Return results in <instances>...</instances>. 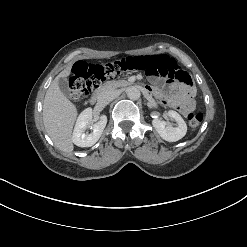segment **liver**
Listing matches in <instances>:
<instances>
[{"mask_svg": "<svg viewBox=\"0 0 247 247\" xmlns=\"http://www.w3.org/2000/svg\"><path fill=\"white\" fill-rule=\"evenodd\" d=\"M71 65L64 69L51 83L43 103V123L47 134L56 147L66 153L74 149L72 130L77 117V109L61 92L58 80L69 76Z\"/></svg>", "mask_w": 247, "mask_h": 247, "instance_id": "1", "label": "liver"}]
</instances>
